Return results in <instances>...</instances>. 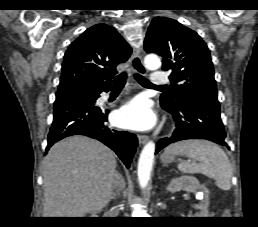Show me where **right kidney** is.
Returning <instances> with one entry per match:
<instances>
[{"instance_id": "right-kidney-1", "label": "right kidney", "mask_w": 258, "mask_h": 227, "mask_svg": "<svg viewBox=\"0 0 258 227\" xmlns=\"http://www.w3.org/2000/svg\"><path fill=\"white\" fill-rule=\"evenodd\" d=\"M96 215H91V217H95Z\"/></svg>"}]
</instances>
